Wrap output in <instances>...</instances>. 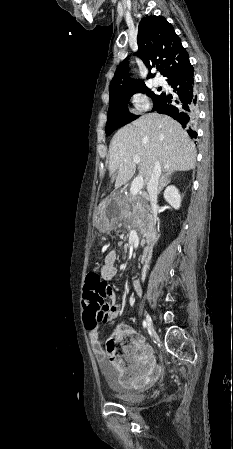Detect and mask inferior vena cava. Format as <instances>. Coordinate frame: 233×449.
Here are the masks:
<instances>
[{"mask_svg":"<svg viewBox=\"0 0 233 449\" xmlns=\"http://www.w3.org/2000/svg\"><path fill=\"white\" fill-rule=\"evenodd\" d=\"M162 167L157 161L154 165L153 171L151 173L150 179L147 182V192L149 194V200L152 208L153 215V227L156 223V207H157V195H158V184L161 176ZM146 274V268H143L142 277L144 278Z\"/></svg>","mask_w":233,"mask_h":449,"instance_id":"inferior-vena-cava-1","label":"inferior vena cava"}]
</instances>
